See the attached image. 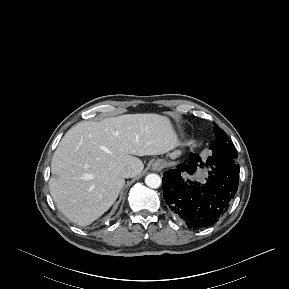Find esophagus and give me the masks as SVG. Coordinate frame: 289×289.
Here are the masks:
<instances>
[{
  "mask_svg": "<svg viewBox=\"0 0 289 289\" xmlns=\"http://www.w3.org/2000/svg\"><path fill=\"white\" fill-rule=\"evenodd\" d=\"M163 167H164V165L161 162H159V161L155 162L154 165H153L154 170H157V171L162 170Z\"/></svg>",
  "mask_w": 289,
  "mask_h": 289,
  "instance_id": "1",
  "label": "esophagus"
}]
</instances>
